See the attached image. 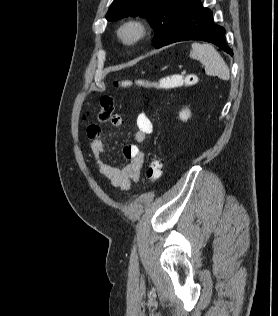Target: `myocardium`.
<instances>
[{
	"mask_svg": "<svg viewBox=\"0 0 278 316\" xmlns=\"http://www.w3.org/2000/svg\"><path fill=\"white\" fill-rule=\"evenodd\" d=\"M148 31L146 21L139 17H131L119 24L116 37L123 46L133 47L147 37Z\"/></svg>",
	"mask_w": 278,
	"mask_h": 316,
	"instance_id": "myocardium-1",
	"label": "myocardium"
}]
</instances>
